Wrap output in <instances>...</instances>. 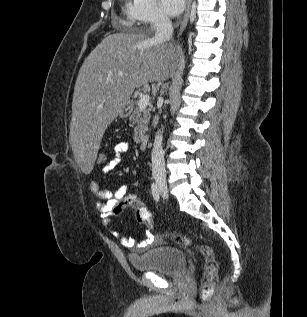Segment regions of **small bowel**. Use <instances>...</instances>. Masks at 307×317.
Wrapping results in <instances>:
<instances>
[{
	"label": "small bowel",
	"mask_w": 307,
	"mask_h": 317,
	"mask_svg": "<svg viewBox=\"0 0 307 317\" xmlns=\"http://www.w3.org/2000/svg\"><path fill=\"white\" fill-rule=\"evenodd\" d=\"M131 149V145L127 141H120L116 143L113 148V158L101 168L103 174L111 172L121 161L122 157ZM90 191L97 197L94 202V208L98 215L103 219L104 227L110 230L115 236H119V232L114 230L109 220V216L113 214V209L128 192L129 186L122 184L114 190L102 189L97 180L90 181ZM154 240V235L147 232L144 239L136 241L133 238L123 236L121 243L123 246L131 249H144L148 247Z\"/></svg>",
	"instance_id": "1"
}]
</instances>
